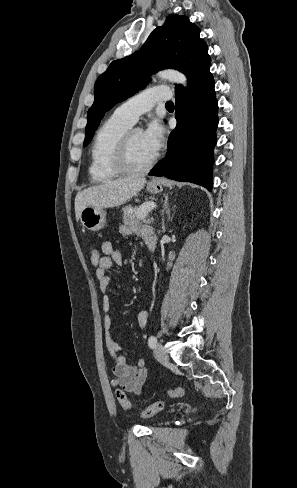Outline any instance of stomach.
Returning a JSON list of instances; mask_svg holds the SVG:
<instances>
[{
    "mask_svg": "<svg viewBox=\"0 0 297 488\" xmlns=\"http://www.w3.org/2000/svg\"><path fill=\"white\" fill-rule=\"evenodd\" d=\"M162 185L157 182H150L147 185V191L153 194L162 192ZM82 225L91 231H98L104 227L106 222V212L102 208L85 207L80 213Z\"/></svg>",
    "mask_w": 297,
    "mask_h": 488,
    "instance_id": "obj_1",
    "label": "stomach"
}]
</instances>
